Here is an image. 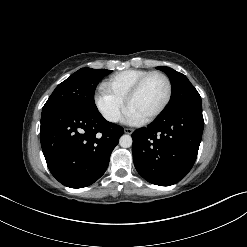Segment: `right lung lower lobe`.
I'll return each mask as SVG.
<instances>
[{"label":"right lung lower lobe","instance_id":"98d812e1","mask_svg":"<svg viewBox=\"0 0 247 247\" xmlns=\"http://www.w3.org/2000/svg\"><path fill=\"white\" fill-rule=\"evenodd\" d=\"M122 134L123 128L99 111L64 105L42 110L43 154L52 175L67 187L82 188L98 180Z\"/></svg>","mask_w":247,"mask_h":247}]
</instances>
